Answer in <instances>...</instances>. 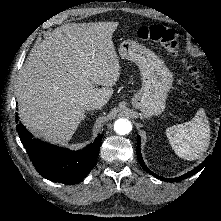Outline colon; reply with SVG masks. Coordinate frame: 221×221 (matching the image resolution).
<instances>
[{
    "label": "colon",
    "mask_w": 221,
    "mask_h": 221,
    "mask_svg": "<svg viewBox=\"0 0 221 221\" xmlns=\"http://www.w3.org/2000/svg\"><path fill=\"white\" fill-rule=\"evenodd\" d=\"M140 39L160 44L169 54L180 57L181 41L178 31L161 24L141 26L137 30ZM184 68L187 70L192 84L196 89L203 87L199 71L186 59H181Z\"/></svg>",
    "instance_id": "obj_1"
}]
</instances>
